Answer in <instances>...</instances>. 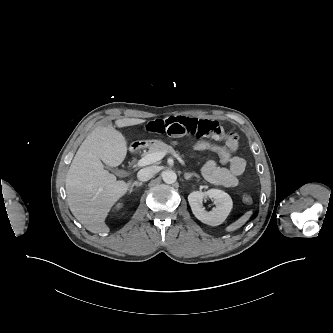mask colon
Returning <instances> with one entry per match:
<instances>
[{
  "mask_svg": "<svg viewBox=\"0 0 333 333\" xmlns=\"http://www.w3.org/2000/svg\"><path fill=\"white\" fill-rule=\"evenodd\" d=\"M188 147L194 151L213 152L218 155L222 163L229 161V154L226 148L212 141L203 139L189 140ZM242 199L245 204H251L253 201L252 197L248 194L243 195Z\"/></svg>",
  "mask_w": 333,
  "mask_h": 333,
  "instance_id": "1",
  "label": "colon"
}]
</instances>
